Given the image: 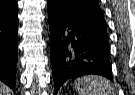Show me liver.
Masks as SVG:
<instances>
[{"instance_id": "liver-1", "label": "liver", "mask_w": 135, "mask_h": 95, "mask_svg": "<svg viewBox=\"0 0 135 95\" xmlns=\"http://www.w3.org/2000/svg\"><path fill=\"white\" fill-rule=\"evenodd\" d=\"M0 95H11L10 89L0 82Z\"/></svg>"}]
</instances>
